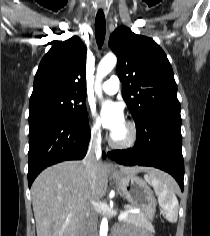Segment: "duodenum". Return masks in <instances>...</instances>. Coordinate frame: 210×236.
<instances>
[{
	"label": "duodenum",
	"mask_w": 210,
	"mask_h": 236,
	"mask_svg": "<svg viewBox=\"0 0 210 236\" xmlns=\"http://www.w3.org/2000/svg\"><path fill=\"white\" fill-rule=\"evenodd\" d=\"M76 236H83V231H82V229L77 232Z\"/></svg>",
	"instance_id": "obj_1"
}]
</instances>
